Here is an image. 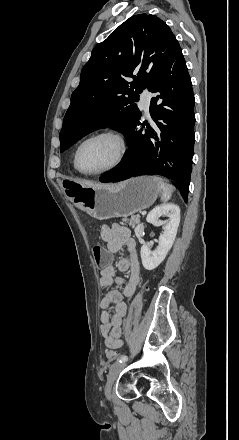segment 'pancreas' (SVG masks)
Returning a JSON list of instances; mask_svg holds the SVG:
<instances>
[{"label": "pancreas", "mask_w": 239, "mask_h": 440, "mask_svg": "<svg viewBox=\"0 0 239 440\" xmlns=\"http://www.w3.org/2000/svg\"><path fill=\"white\" fill-rule=\"evenodd\" d=\"M140 218L141 216H131V218H122V222H126L128 226H131V228H135L137 224H140Z\"/></svg>", "instance_id": "pancreas-1"}]
</instances>
